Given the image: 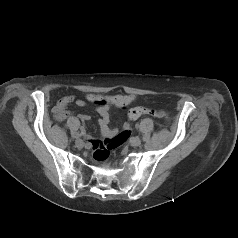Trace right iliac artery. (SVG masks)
<instances>
[{
	"instance_id": "82829eb1",
	"label": "right iliac artery",
	"mask_w": 238,
	"mask_h": 238,
	"mask_svg": "<svg viewBox=\"0 0 238 238\" xmlns=\"http://www.w3.org/2000/svg\"><path fill=\"white\" fill-rule=\"evenodd\" d=\"M79 137H81V134H77V135H76V138H79Z\"/></svg>"
}]
</instances>
